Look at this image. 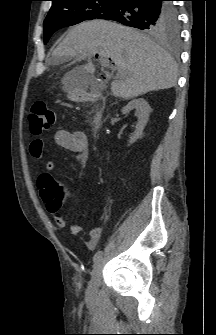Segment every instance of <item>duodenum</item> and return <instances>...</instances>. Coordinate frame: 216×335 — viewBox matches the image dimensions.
<instances>
[{"mask_svg": "<svg viewBox=\"0 0 216 335\" xmlns=\"http://www.w3.org/2000/svg\"><path fill=\"white\" fill-rule=\"evenodd\" d=\"M99 121H100V114L98 113L95 120L96 125L99 123Z\"/></svg>", "mask_w": 216, "mask_h": 335, "instance_id": "1", "label": "duodenum"}]
</instances>
